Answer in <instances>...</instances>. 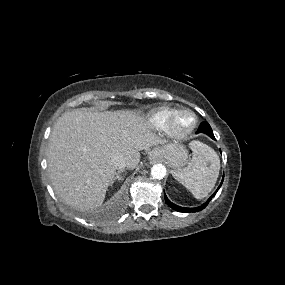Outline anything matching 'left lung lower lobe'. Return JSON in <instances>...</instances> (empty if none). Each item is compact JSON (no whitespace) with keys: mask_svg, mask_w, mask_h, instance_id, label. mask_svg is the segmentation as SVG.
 <instances>
[{"mask_svg":"<svg viewBox=\"0 0 285 285\" xmlns=\"http://www.w3.org/2000/svg\"><path fill=\"white\" fill-rule=\"evenodd\" d=\"M196 133H205V134H207L209 137H211L212 139H215L214 134H213V131H212L210 125H209L207 122L201 123ZM222 182H223V179H222ZM222 182H221V184L219 185L218 189L215 191V193H214L213 195H211V197L208 199V201L205 202L202 206H199V207H196V208H184V207H180V206L175 205L174 203H172V202L167 198L166 195H165V202H166L167 205H169L172 209H174V210H176V211H179V212H198V211L204 209V208L208 205V203L210 202V200L215 196V194L217 193V191H218L219 188L221 187Z\"/></svg>","mask_w":285,"mask_h":285,"instance_id":"1","label":"left lung lower lobe"}]
</instances>
